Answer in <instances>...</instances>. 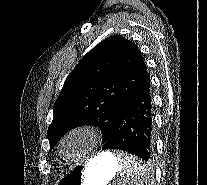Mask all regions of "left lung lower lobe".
<instances>
[{"mask_svg": "<svg viewBox=\"0 0 207 185\" xmlns=\"http://www.w3.org/2000/svg\"><path fill=\"white\" fill-rule=\"evenodd\" d=\"M150 79L117 113L103 150L116 149L147 161L153 154Z\"/></svg>", "mask_w": 207, "mask_h": 185, "instance_id": "1", "label": "left lung lower lobe"}]
</instances>
